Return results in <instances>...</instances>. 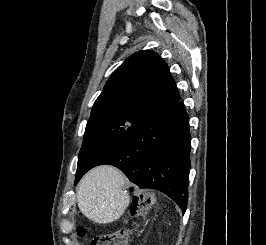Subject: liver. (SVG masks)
<instances>
[{"label": "liver", "instance_id": "1", "mask_svg": "<svg viewBox=\"0 0 266 245\" xmlns=\"http://www.w3.org/2000/svg\"><path fill=\"white\" fill-rule=\"evenodd\" d=\"M126 177L115 167H96L81 179L77 189V205L94 223L118 221L130 201L125 187Z\"/></svg>", "mask_w": 266, "mask_h": 245}]
</instances>
